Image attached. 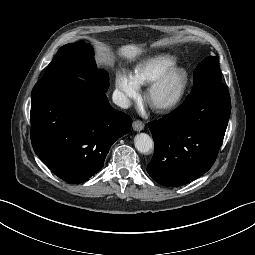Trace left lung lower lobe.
I'll return each mask as SVG.
<instances>
[{
    "label": "left lung lower lobe",
    "instance_id": "1",
    "mask_svg": "<svg viewBox=\"0 0 255 255\" xmlns=\"http://www.w3.org/2000/svg\"><path fill=\"white\" fill-rule=\"evenodd\" d=\"M231 100L221 78L206 75L194 83L184 104L148 124L155 150L149 175L169 187L185 185L213 165L222 144Z\"/></svg>",
    "mask_w": 255,
    "mask_h": 255
}]
</instances>
